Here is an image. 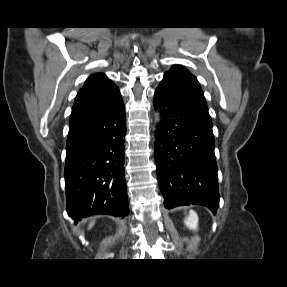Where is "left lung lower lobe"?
<instances>
[{"instance_id":"left-lung-lower-lobe-1","label":"left lung lower lobe","mask_w":287,"mask_h":287,"mask_svg":"<svg viewBox=\"0 0 287 287\" xmlns=\"http://www.w3.org/2000/svg\"><path fill=\"white\" fill-rule=\"evenodd\" d=\"M154 105L161 110L155 160L165 208L202 205L213 213L219 206L212 123L200 118L169 91L158 86Z\"/></svg>"}]
</instances>
